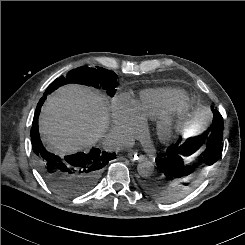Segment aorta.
Wrapping results in <instances>:
<instances>
[{
    "label": "aorta",
    "mask_w": 245,
    "mask_h": 245,
    "mask_svg": "<svg viewBox=\"0 0 245 245\" xmlns=\"http://www.w3.org/2000/svg\"><path fill=\"white\" fill-rule=\"evenodd\" d=\"M137 171L141 176L148 177L154 171V164L149 160H144L138 164Z\"/></svg>",
    "instance_id": "aorta-1"
}]
</instances>
